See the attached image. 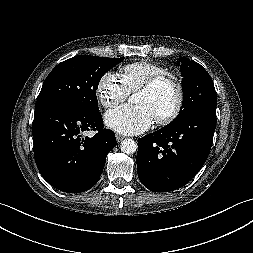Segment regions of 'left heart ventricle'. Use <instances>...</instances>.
<instances>
[{
	"mask_svg": "<svg viewBox=\"0 0 253 253\" xmlns=\"http://www.w3.org/2000/svg\"><path fill=\"white\" fill-rule=\"evenodd\" d=\"M137 104L147 105L155 119L167 114L175 103V92L171 85L163 84L155 92H139L135 99Z\"/></svg>",
	"mask_w": 253,
	"mask_h": 253,
	"instance_id": "b2bd125f",
	"label": "left heart ventricle"
}]
</instances>
